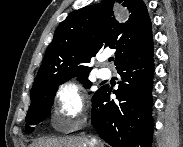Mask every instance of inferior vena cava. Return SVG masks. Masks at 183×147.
I'll return each instance as SVG.
<instances>
[{
    "instance_id": "obj_1",
    "label": "inferior vena cava",
    "mask_w": 183,
    "mask_h": 147,
    "mask_svg": "<svg viewBox=\"0 0 183 147\" xmlns=\"http://www.w3.org/2000/svg\"><path fill=\"white\" fill-rule=\"evenodd\" d=\"M89 144L90 147H102L101 142L94 137L90 139Z\"/></svg>"
}]
</instances>
